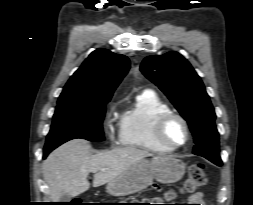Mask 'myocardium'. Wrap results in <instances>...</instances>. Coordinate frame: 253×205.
<instances>
[{
  "instance_id": "myocardium-1",
  "label": "myocardium",
  "mask_w": 253,
  "mask_h": 205,
  "mask_svg": "<svg viewBox=\"0 0 253 205\" xmlns=\"http://www.w3.org/2000/svg\"><path fill=\"white\" fill-rule=\"evenodd\" d=\"M172 120H178L184 127L185 139L182 143H172L166 138V128ZM154 136L157 142L168 150H175L184 147L190 139V127L187 120L180 114L175 112H167L161 115L154 126Z\"/></svg>"
}]
</instances>
